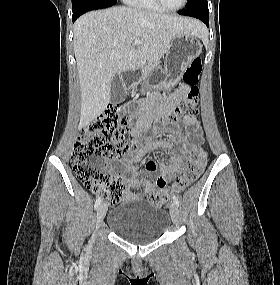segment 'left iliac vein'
I'll return each instance as SVG.
<instances>
[{
  "label": "left iliac vein",
  "mask_w": 280,
  "mask_h": 285,
  "mask_svg": "<svg viewBox=\"0 0 280 285\" xmlns=\"http://www.w3.org/2000/svg\"><path fill=\"white\" fill-rule=\"evenodd\" d=\"M169 210H170V215H171L173 223H175V224L178 223V220H179L178 206L172 202V203H170Z\"/></svg>",
  "instance_id": "1"
}]
</instances>
